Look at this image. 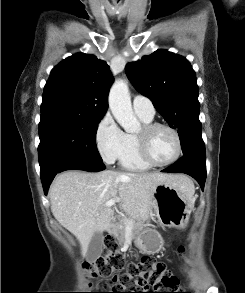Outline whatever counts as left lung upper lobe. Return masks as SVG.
Here are the masks:
<instances>
[{"instance_id": "5c2ea615", "label": "left lung upper lobe", "mask_w": 245, "mask_h": 293, "mask_svg": "<svg viewBox=\"0 0 245 293\" xmlns=\"http://www.w3.org/2000/svg\"><path fill=\"white\" fill-rule=\"evenodd\" d=\"M126 74L169 126L177 129L183 154L206 158L197 80L189 61L161 49L128 63Z\"/></svg>"}]
</instances>
